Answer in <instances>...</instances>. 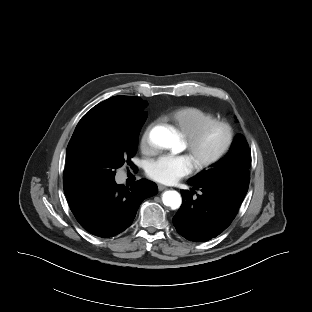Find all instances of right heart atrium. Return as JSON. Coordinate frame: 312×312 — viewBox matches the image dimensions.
Listing matches in <instances>:
<instances>
[{
  "instance_id": "d8ad5b80",
  "label": "right heart atrium",
  "mask_w": 312,
  "mask_h": 312,
  "mask_svg": "<svg viewBox=\"0 0 312 312\" xmlns=\"http://www.w3.org/2000/svg\"><path fill=\"white\" fill-rule=\"evenodd\" d=\"M153 126H154V123H150L143 131L141 139H140L141 150L147 154H150L153 151V147L150 142V131Z\"/></svg>"
}]
</instances>
